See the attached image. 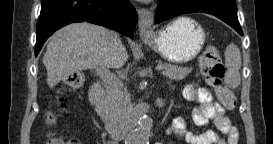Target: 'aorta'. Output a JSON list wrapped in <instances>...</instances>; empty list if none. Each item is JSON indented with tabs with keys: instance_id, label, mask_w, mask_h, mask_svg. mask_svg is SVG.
<instances>
[{
	"instance_id": "obj_1",
	"label": "aorta",
	"mask_w": 273,
	"mask_h": 144,
	"mask_svg": "<svg viewBox=\"0 0 273 144\" xmlns=\"http://www.w3.org/2000/svg\"><path fill=\"white\" fill-rule=\"evenodd\" d=\"M151 128L152 119L147 116L143 117L137 128L129 135L128 144H148Z\"/></svg>"
}]
</instances>
